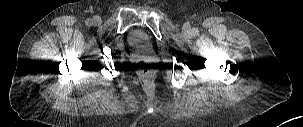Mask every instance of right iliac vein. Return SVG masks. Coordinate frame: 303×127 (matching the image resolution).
Wrapping results in <instances>:
<instances>
[{
	"label": "right iliac vein",
	"instance_id": "right-iliac-vein-1",
	"mask_svg": "<svg viewBox=\"0 0 303 127\" xmlns=\"http://www.w3.org/2000/svg\"><path fill=\"white\" fill-rule=\"evenodd\" d=\"M93 23H94L95 25L101 24V18H100L99 16H95V17L93 18Z\"/></svg>",
	"mask_w": 303,
	"mask_h": 127
}]
</instances>
